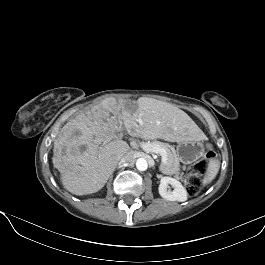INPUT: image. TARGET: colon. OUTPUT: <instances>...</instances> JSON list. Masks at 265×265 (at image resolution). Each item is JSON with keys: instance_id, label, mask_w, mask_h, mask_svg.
Returning <instances> with one entry per match:
<instances>
[{"instance_id": "5ec220e1", "label": "colon", "mask_w": 265, "mask_h": 265, "mask_svg": "<svg viewBox=\"0 0 265 265\" xmlns=\"http://www.w3.org/2000/svg\"><path fill=\"white\" fill-rule=\"evenodd\" d=\"M214 157V151L211 148H208L205 156L189 169L186 176L187 191L189 195L195 196L200 191L202 186V176Z\"/></svg>"}]
</instances>
